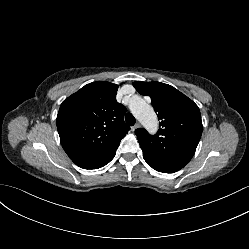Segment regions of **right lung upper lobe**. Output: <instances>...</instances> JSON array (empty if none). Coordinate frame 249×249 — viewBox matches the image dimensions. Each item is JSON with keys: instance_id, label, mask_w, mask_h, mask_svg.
I'll use <instances>...</instances> for the list:
<instances>
[{"instance_id": "1", "label": "right lung upper lobe", "mask_w": 249, "mask_h": 249, "mask_svg": "<svg viewBox=\"0 0 249 249\" xmlns=\"http://www.w3.org/2000/svg\"><path fill=\"white\" fill-rule=\"evenodd\" d=\"M118 85L97 81L66 98L57 115L61 144L72 161L103 155L118 148L130 130L126 107L118 103Z\"/></svg>"}]
</instances>
